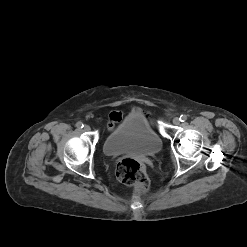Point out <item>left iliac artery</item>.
I'll return each mask as SVG.
<instances>
[{
	"label": "left iliac artery",
	"instance_id": "44dca946",
	"mask_svg": "<svg viewBox=\"0 0 247 247\" xmlns=\"http://www.w3.org/2000/svg\"><path fill=\"white\" fill-rule=\"evenodd\" d=\"M179 120L181 122H185L187 120V116L186 115H181L180 118H179Z\"/></svg>",
	"mask_w": 247,
	"mask_h": 247
}]
</instances>
